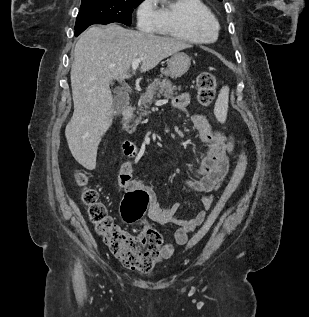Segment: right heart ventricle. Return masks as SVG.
Segmentation results:
<instances>
[{
	"instance_id": "1",
	"label": "right heart ventricle",
	"mask_w": 309,
	"mask_h": 317,
	"mask_svg": "<svg viewBox=\"0 0 309 317\" xmlns=\"http://www.w3.org/2000/svg\"><path fill=\"white\" fill-rule=\"evenodd\" d=\"M158 1L157 33L195 44H208L217 39L219 22L203 0Z\"/></svg>"
}]
</instances>
